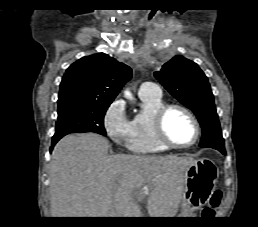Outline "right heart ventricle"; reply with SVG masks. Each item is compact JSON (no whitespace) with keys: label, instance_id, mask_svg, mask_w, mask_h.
Here are the masks:
<instances>
[{"label":"right heart ventricle","instance_id":"e07e8e85","mask_svg":"<svg viewBox=\"0 0 258 227\" xmlns=\"http://www.w3.org/2000/svg\"><path fill=\"white\" fill-rule=\"evenodd\" d=\"M139 96L141 110L130 121L127 147L130 151L141 154L164 152L168 147L157 140L153 127L154 114L164 105L162 97Z\"/></svg>","mask_w":258,"mask_h":227}]
</instances>
